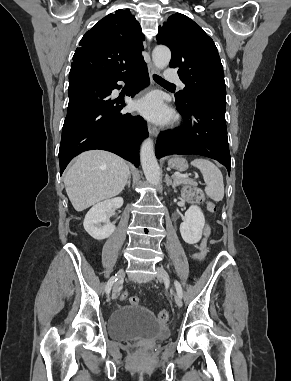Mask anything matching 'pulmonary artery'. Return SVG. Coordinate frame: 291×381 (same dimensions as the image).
<instances>
[{"mask_svg":"<svg viewBox=\"0 0 291 381\" xmlns=\"http://www.w3.org/2000/svg\"><path fill=\"white\" fill-rule=\"evenodd\" d=\"M165 78L167 81L176 82L183 86V82L179 79L176 70L172 68H167L165 71Z\"/></svg>","mask_w":291,"mask_h":381,"instance_id":"pulmonary-artery-1","label":"pulmonary artery"}]
</instances>
